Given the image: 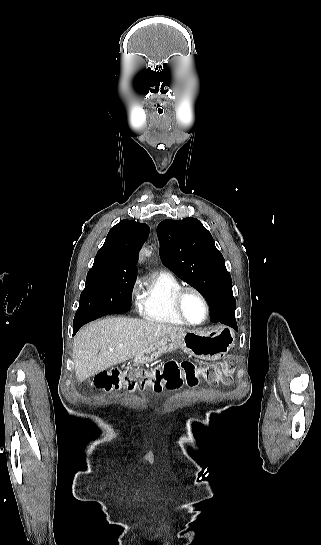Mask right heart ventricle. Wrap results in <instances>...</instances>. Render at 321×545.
I'll list each match as a JSON object with an SVG mask.
<instances>
[{"label":"right heart ventricle","instance_id":"obj_1","mask_svg":"<svg viewBox=\"0 0 321 545\" xmlns=\"http://www.w3.org/2000/svg\"><path fill=\"white\" fill-rule=\"evenodd\" d=\"M180 287L182 283L173 274L162 271L155 273L147 291L140 299V316L153 324L183 326L171 309L172 295Z\"/></svg>","mask_w":321,"mask_h":545}]
</instances>
